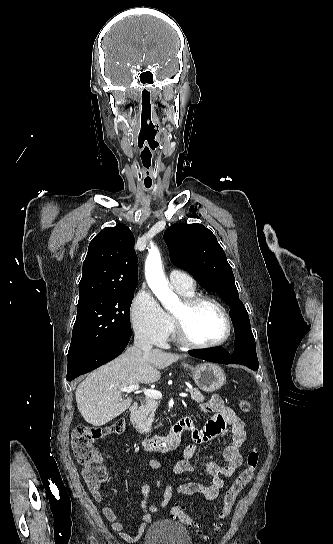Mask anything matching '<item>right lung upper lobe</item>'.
Returning a JSON list of instances; mask_svg holds the SVG:
<instances>
[{
	"label": "right lung upper lobe",
	"instance_id": "1",
	"mask_svg": "<svg viewBox=\"0 0 333 544\" xmlns=\"http://www.w3.org/2000/svg\"><path fill=\"white\" fill-rule=\"evenodd\" d=\"M134 242L130 229L121 223L103 229L92 239L83 262L78 303L111 291L136 289Z\"/></svg>",
	"mask_w": 333,
	"mask_h": 544
}]
</instances>
